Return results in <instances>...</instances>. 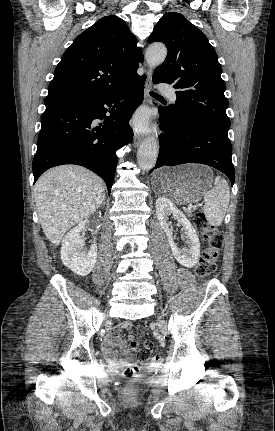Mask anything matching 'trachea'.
<instances>
[{"label":"trachea","instance_id":"obj_1","mask_svg":"<svg viewBox=\"0 0 275 431\" xmlns=\"http://www.w3.org/2000/svg\"><path fill=\"white\" fill-rule=\"evenodd\" d=\"M151 94H152L153 96H155V97H161L160 95H158V94H156V93H153V92H151Z\"/></svg>","mask_w":275,"mask_h":431}]
</instances>
